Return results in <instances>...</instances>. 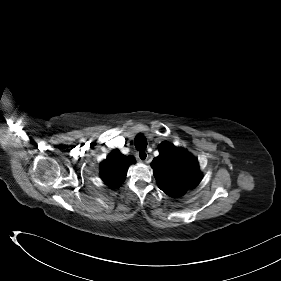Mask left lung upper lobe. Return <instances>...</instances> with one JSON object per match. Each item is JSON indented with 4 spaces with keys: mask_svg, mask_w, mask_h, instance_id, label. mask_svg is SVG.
<instances>
[{
    "mask_svg": "<svg viewBox=\"0 0 281 281\" xmlns=\"http://www.w3.org/2000/svg\"><path fill=\"white\" fill-rule=\"evenodd\" d=\"M160 155L151 164L159 188L171 197L184 195L201 180L197 159L186 150L165 141L158 146Z\"/></svg>",
    "mask_w": 281,
    "mask_h": 281,
    "instance_id": "1",
    "label": "left lung upper lobe"
}]
</instances>
